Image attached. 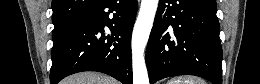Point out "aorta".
Here are the masks:
<instances>
[{"mask_svg": "<svg viewBox=\"0 0 260 84\" xmlns=\"http://www.w3.org/2000/svg\"><path fill=\"white\" fill-rule=\"evenodd\" d=\"M158 0H142L132 34L133 84H149L144 51L153 26Z\"/></svg>", "mask_w": 260, "mask_h": 84, "instance_id": "obj_1", "label": "aorta"}]
</instances>
